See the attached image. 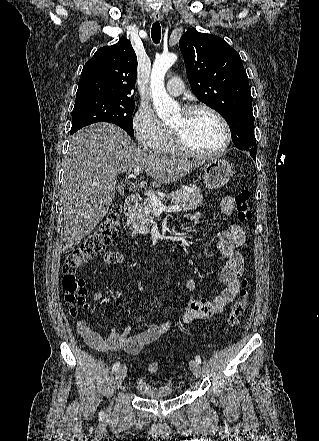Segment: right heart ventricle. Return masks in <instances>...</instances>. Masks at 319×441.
I'll return each instance as SVG.
<instances>
[{"label":"right heart ventricle","mask_w":319,"mask_h":441,"mask_svg":"<svg viewBox=\"0 0 319 441\" xmlns=\"http://www.w3.org/2000/svg\"><path fill=\"white\" fill-rule=\"evenodd\" d=\"M159 152L164 153V154H176L177 153V151L172 143V139H171L170 132L168 129H167L165 141H164L163 145L161 146V148L159 149Z\"/></svg>","instance_id":"e07e8e85"}]
</instances>
